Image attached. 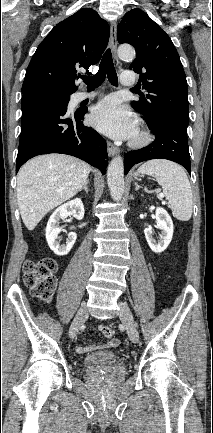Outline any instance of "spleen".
Here are the masks:
<instances>
[{"instance_id": "spleen-1", "label": "spleen", "mask_w": 213, "mask_h": 433, "mask_svg": "<svg viewBox=\"0 0 213 433\" xmlns=\"http://www.w3.org/2000/svg\"><path fill=\"white\" fill-rule=\"evenodd\" d=\"M138 173L154 177L162 186L175 218L188 221L192 215L193 196L184 169L171 161L150 160L138 168Z\"/></svg>"}]
</instances>
